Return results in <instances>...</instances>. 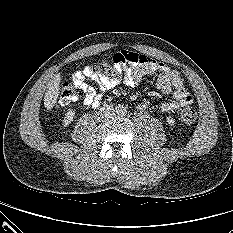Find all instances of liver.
I'll return each mask as SVG.
<instances>
[{"mask_svg":"<svg viewBox=\"0 0 233 233\" xmlns=\"http://www.w3.org/2000/svg\"><path fill=\"white\" fill-rule=\"evenodd\" d=\"M60 82L61 76L58 73L54 75V77L47 86V90L44 95V106L48 110L52 109L56 104L60 90Z\"/></svg>","mask_w":233,"mask_h":233,"instance_id":"1","label":"liver"}]
</instances>
